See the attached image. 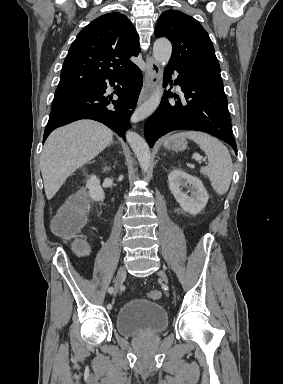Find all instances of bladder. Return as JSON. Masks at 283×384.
<instances>
[{"mask_svg":"<svg viewBox=\"0 0 283 384\" xmlns=\"http://www.w3.org/2000/svg\"><path fill=\"white\" fill-rule=\"evenodd\" d=\"M115 321L124 337L160 335L168 327V312L161 303L134 298L116 311Z\"/></svg>","mask_w":283,"mask_h":384,"instance_id":"obj_1","label":"bladder"}]
</instances>
